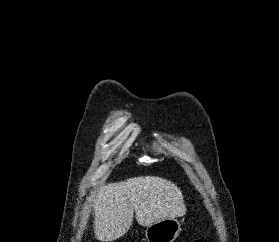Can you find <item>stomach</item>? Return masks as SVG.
<instances>
[{"mask_svg":"<svg viewBox=\"0 0 279 242\" xmlns=\"http://www.w3.org/2000/svg\"><path fill=\"white\" fill-rule=\"evenodd\" d=\"M181 232L177 218H167L153 223L145 230L147 242H173Z\"/></svg>","mask_w":279,"mask_h":242,"instance_id":"obj_1","label":"stomach"}]
</instances>
